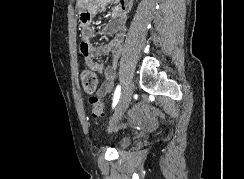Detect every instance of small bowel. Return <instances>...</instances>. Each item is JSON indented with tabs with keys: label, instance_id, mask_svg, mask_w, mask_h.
<instances>
[{
	"label": "small bowel",
	"instance_id": "1",
	"mask_svg": "<svg viewBox=\"0 0 244 179\" xmlns=\"http://www.w3.org/2000/svg\"><path fill=\"white\" fill-rule=\"evenodd\" d=\"M88 9H85V18H79L81 30L80 52L84 64L91 70L103 76V83L98 91V95L104 97L109 93L113 86L116 75V67L122 53V46L126 36V18L127 4L122 1L112 3L109 0H93L87 3ZM113 5L112 20L108 22L99 33L112 36V39L104 44L92 45L90 39L95 31L91 27L92 19L95 15L103 12L110 5ZM106 54L111 55L110 63L106 64L101 58ZM136 115L130 116V121L147 123V126H157L154 116L147 115V110H136Z\"/></svg>",
	"mask_w": 244,
	"mask_h": 179
}]
</instances>
